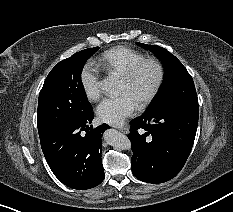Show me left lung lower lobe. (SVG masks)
Returning <instances> with one entry per match:
<instances>
[{"label": "left lung lower lobe", "mask_w": 233, "mask_h": 212, "mask_svg": "<svg viewBox=\"0 0 233 212\" xmlns=\"http://www.w3.org/2000/svg\"><path fill=\"white\" fill-rule=\"evenodd\" d=\"M198 104L171 102L147 109L131 124L133 175L148 183H163L184 166L194 143Z\"/></svg>", "instance_id": "1"}]
</instances>
